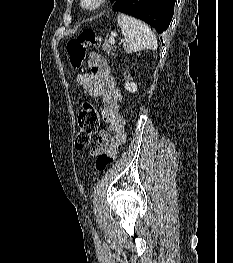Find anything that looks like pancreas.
I'll return each mask as SVG.
<instances>
[{"instance_id":"cf45deb5","label":"pancreas","mask_w":233,"mask_h":263,"mask_svg":"<svg viewBox=\"0 0 233 263\" xmlns=\"http://www.w3.org/2000/svg\"><path fill=\"white\" fill-rule=\"evenodd\" d=\"M102 47H103V50L108 53V54H112L114 55L115 54V46H112L108 43V41H105L103 44H102Z\"/></svg>"}]
</instances>
